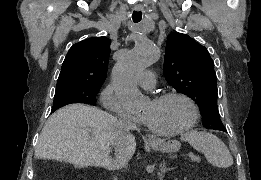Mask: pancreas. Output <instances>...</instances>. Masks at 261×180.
I'll return each instance as SVG.
<instances>
[{
  "label": "pancreas",
  "instance_id": "1",
  "mask_svg": "<svg viewBox=\"0 0 261 180\" xmlns=\"http://www.w3.org/2000/svg\"><path fill=\"white\" fill-rule=\"evenodd\" d=\"M194 164H199L200 163V160L198 162H193Z\"/></svg>",
  "mask_w": 261,
  "mask_h": 180
}]
</instances>
